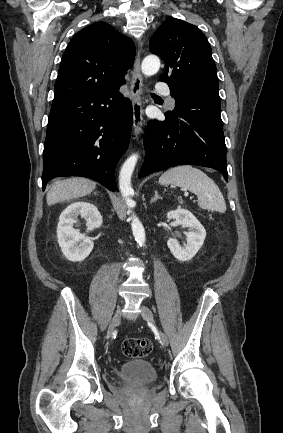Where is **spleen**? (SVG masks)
Instances as JSON below:
<instances>
[{
  "label": "spleen",
  "instance_id": "3e777b00",
  "mask_svg": "<svg viewBox=\"0 0 283 433\" xmlns=\"http://www.w3.org/2000/svg\"><path fill=\"white\" fill-rule=\"evenodd\" d=\"M159 182L160 184H176V186H183L195 192L200 208L218 210V212L226 210L224 196L214 180L199 168H193L191 164L169 168L160 176Z\"/></svg>",
  "mask_w": 283,
  "mask_h": 433
}]
</instances>
